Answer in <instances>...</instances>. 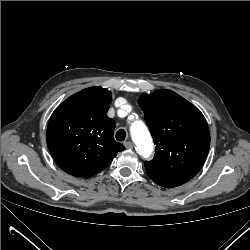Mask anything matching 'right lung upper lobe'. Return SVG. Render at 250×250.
Instances as JSON below:
<instances>
[{
  "label": "right lung upper lobe",
  "instance_id": "1",
  "mask_svg": "<svg viewBox=\"0 0 250 250\" xmlns=\"http://www.w3.org/2000/svg\"><path fill=\"white\" fill-rule=\"evenodd\" d=\"M112 93L86 88L67 98L48 123V148L59 167L75 177L89 178L106 168L125 147L113 138L115 121L106 113Z\"/></svg>",
  "mask_w": 250,
  "mask_h": 250
}]
</instances>
